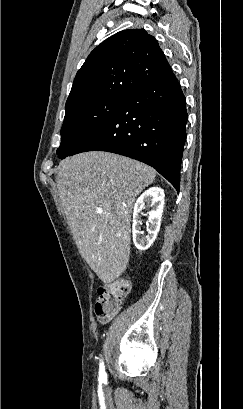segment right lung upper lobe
<instances>
[{
  "mask_svg": "<svg viewBox=\"0 0 243 409\" xmlns=\"http://www.w3.org/2000/svg\"><path fill=\"white\" fill-rule=\"evenodd\" d=\"M171 72L153 36L143 29L123 30L90 53L76 74L66 107L99 98H126Z\"/></svg>",
  "mask_w": 243,
  "mask_h": 409,
  "instance_id": "cb5924a9",
  "label": "right lung upper lobe"
}]
</instances>
